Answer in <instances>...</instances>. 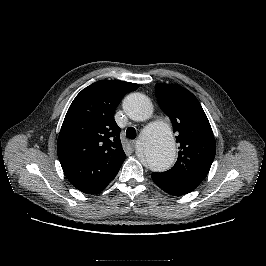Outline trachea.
<instances>
[{"mask_svg":"<svg viewBox=\"0 0 266 266\" xmlns=\"http://www.w3.org/2000/svg\"><path fill=\"white\" fill-rule=\"evenodd\" d=\"M126 136L129 139H135L136 136H137V132H136L135 128L128 127L127 130H126Z\"/></svg>","mask_w":266,"mask_h":266,"instance_id":"obj_1","label":"trachea"}]
</instances>
